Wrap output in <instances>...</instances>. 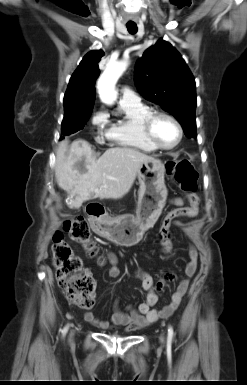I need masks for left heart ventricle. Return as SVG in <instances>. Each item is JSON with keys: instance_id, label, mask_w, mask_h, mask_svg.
<instances>
[{"instance_id": "1", "label": "left heart ventricle", "mask_w": 247, "mask_h": 385, "mask_svg": "<svg viewBox=\"0 0 247 385\" xmlns=\"http://www.w3.org/2000/svg\"><path fill=\"white\" fill-rule=\"evenodd\" d=\"M154 135L163 146H172L179 137L175 124L167 118H157L153 125Z\"/></svg>"}]
</instances>
